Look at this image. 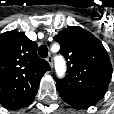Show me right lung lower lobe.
<instances>
[{"label":"right lung lower lobe","instance_id":"obj_1","mask_svg":"<svg viewBox=\"0 0 114 114\" xmlns=\"http://www.w3.org/2000/svg\"><path fill=\"white\" fill-rule=\"evenodd\" d=\"M33 99H34V97L29 99V100H27V101H25V102H23V103H21V104H19V105H17V106H15V107H13V108H10V109L16 110V109L22 108L25 105L29 104Z\"/></svg>","mask_w":114,"mask_h":114}]
</instances>
